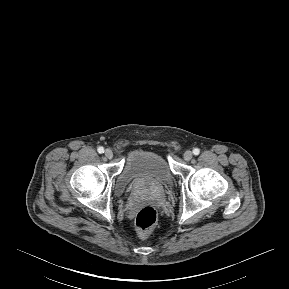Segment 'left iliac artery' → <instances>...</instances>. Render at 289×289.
<instances>
[{"label":"left iliac artery","mask_w":289,"mask_h":289,"mask_svg":"<svg viewBox=\"0 0 289 289\" xmlns=\"http://www.w3.org/2000/svg\"><path fill=\"white\" fill-rule=\"evenodd\" d=\"M200 153V150L198 148L193 149V154L198 155Z\"/></svg>","instance_id":"left-iliac-artery-1"}]
</instances>
